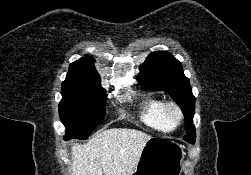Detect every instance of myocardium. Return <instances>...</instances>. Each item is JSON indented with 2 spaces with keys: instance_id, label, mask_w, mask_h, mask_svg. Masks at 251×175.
<instances>
[{
  "instance_id": "obj_1",
  "label": "myocardium",
  "mask_w": 251,
  "mask_h": 175,
  "mask_svg": "<svg viewBox=\"0 0 251 175\" xmlns=\"http://www.w3.org/2000/svg\"><path fill=\"white\" fill-rule=\"evenodd\" d=\"M164 116L176 128L184 119V111L176 102H168L164 105Z\"/></svg>"
}]
</instances>
